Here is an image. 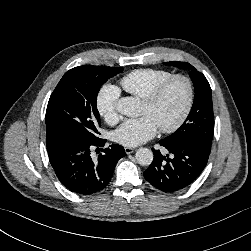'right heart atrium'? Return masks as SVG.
<instances>
[{
	"mask_svg": "<svg viewBox=\"0 0 251 251\" xmlns=\"http://www.w3.org/2000/svg\"><path fill=\"white\" fill-rule=\"evenodd\" d=\"M118 99V89L112 85L104 86L96 99L99 114L110 124H114L119 120V114L116 110Z\"/></svg>",
	"mask_w": 251,
	"mask_h": 251,
	"instance_id": "1",
	"label": "right heart atrium"
}]
</instances>
